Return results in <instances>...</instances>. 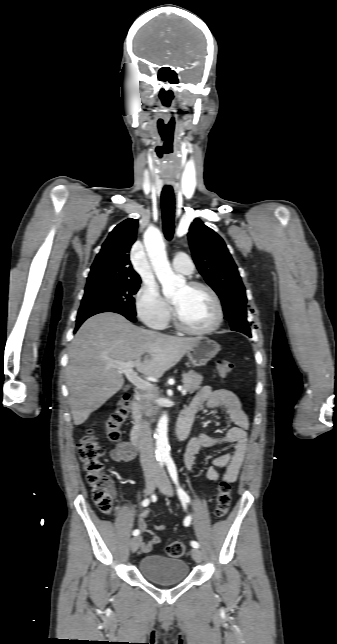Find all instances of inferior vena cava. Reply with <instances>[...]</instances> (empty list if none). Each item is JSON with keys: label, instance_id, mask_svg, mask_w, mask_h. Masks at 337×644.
Masks as SVG:
<instances>
[{"label": "inferior vena cava", "instance_id": "inferior-vena-cava-1", "mask_svg": "<svg viewBox=\"0 0 337 644\" xmlns=\"http://www.w3.org/2000/svg\"><path fill=\"white\" fill-rule=\"evenodd\" d=\"M140 461L145 474H160L161 470L155 457V448L150 423L143 421L139 440Z\"/></svg>", "mask_w": 337, "mask_h": 644}]
</instances>
